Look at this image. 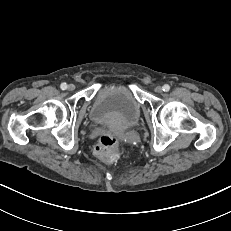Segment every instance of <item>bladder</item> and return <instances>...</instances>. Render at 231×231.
Listing matches in <instances>:
<instances>
[{
	"label": "bladder",
	"instance_id": "bladder-1",
	"mask_svg": "<svg viewBox=\"0 0 231 231\" xmlns=\"http://www.w3.org/2000/svg\"><path fill=\"white\" fill-rule=\"evenodd\" d=\"M140 115L139 102L123 84L103 86L95 95L89 111L93 123L119 129L131 128L138 122Z\"/></svg>",
	"mask_w": 231,
	"mask_h": 231
}]
</instances>
